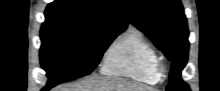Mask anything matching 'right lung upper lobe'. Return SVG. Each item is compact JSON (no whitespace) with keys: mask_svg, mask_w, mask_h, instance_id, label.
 I'll use <instances>...</instances> for the list:
<instances>
[{"mask_svg":"<svg viewBox=\"0 0 220 91\" xmlns=\"http://www.w3.org/2000/svg\"><path fill=\"white\" fill-rule=\"evenodd\" d=\"M119 0H55L45 11L42 26L81 25L123 31L127 21Z\"/></svg>","mask_w":220,"mask_h":91,"instance_id":"1","label":"right lung upper lobe"}]
</instances>
